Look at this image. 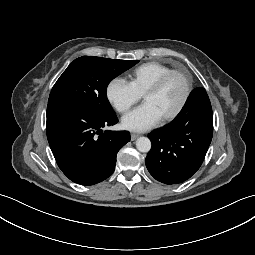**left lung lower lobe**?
I'll return each instance as SVG.
<instances>
[{"label":"left lung lower lobe","mask_w":255,"mask_h":255,"mask_svg":"<svg viewBox=\"0 0 255 255\" xmlns=\"http://www.w3.org/2000/svg\"><path fill=\"white\" fill-rule=\"evenodd\" d=\"M212 134L211 103L206 90L198 87L172 122L148 135L152 142L145 160L148 171L168 185L186 181L200 168Z\"/></svg>","instance_id":"1"}]
</instances>
